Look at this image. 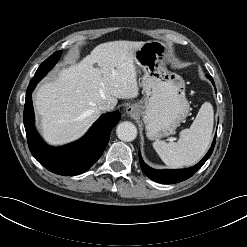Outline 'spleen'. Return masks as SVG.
I'll return each instance as SVG.
<instances>
[{"instance_id":"3e777b00","label":"spleen","mask_w":247,"mask_h":247,"mask_svg":"<svg viewBox=\"0 0 247 247\" xmlns=\"http://www.w3.org/2000/svg\"><path fill=\"white\" fill-rule=\"evenodd\" d=\"M214 123L213 107L205 102L190 128L180 132L178 142H153V148L161 160L171 168L197 163L206 153L212 139Z\"/></svg>"}]
</instances>
